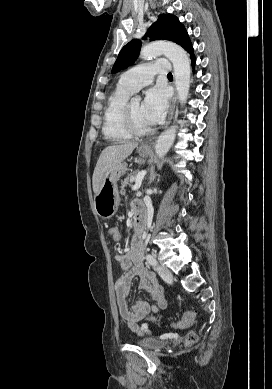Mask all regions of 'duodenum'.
I'll return each instance as SVG.
<instances>
[{
    "label": "duodenum",
    "instance_id": "duodenum-1",
    "mask_svg": "<svg viewBox=\"0 0 272 389\" xmlns=\"http://www.w3.org/2000/svg\"><path fill=\"white\" fill-rule=\"evenodd\" d=\"M147 216L142 211L134 212V224L136 228V234L139 236L143 233L146 227Z\"/></svg>",
    "mask_w": 272,
    "mask_h": 389
}]
</instances>
